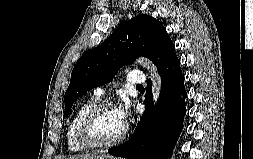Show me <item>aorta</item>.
<instances>
[{"instance_id": "obj_1", "label": "aorta", "mask_w": 253, "mask_h": 159, "mask_svg": "<svg viewBox=\"0 0 253 159\" xmlns=\"http://www.w3.org/2000/svg\"><path fill=\"white\" fill-rule=\"evenodd\" d=\"M140 62L144 64V66L150 71L151 74V80H152V92H153V98L154 100H157L160 89H161V80L160 76L155 69L154 65L151 64V62L147 59H140Z\"/></svg>"}]
</instances>
